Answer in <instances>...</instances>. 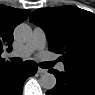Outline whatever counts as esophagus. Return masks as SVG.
Masks as SVG:
<instances>
[{
  "instance_id": "esophagus-1",
  "label": "esophagus",
  "mask_w": 95,
  "mask_h": 95,
  "mask_svg": "<svg viewBox=\"0 0 95 95\" xmlns=\"http://www.w3.org/2000/svg\"><path fill=\"white\" fill-rule=\"evenodd\" d=\"M38 73L39 74H45V73H47V70L46 69H42V68H38Z\"/></svg>"
}]
</instances>
